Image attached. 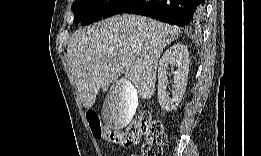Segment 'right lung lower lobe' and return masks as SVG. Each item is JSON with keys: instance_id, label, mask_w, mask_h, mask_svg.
Wrapping results in <instances>:
<instances>
[{"instance_id": "right-lung-lower-lobe-1", "label": "right lung lower lobe", "mask_w": 261, "mask_h": 156, "mask_svg": "<svg viewBox=\"0 0 261 156\" xmlns=\"http://www.w3.org/2000/svg\"><path fill=\"white\" fill-rule=\"evenodd\" d=\"M203 10L202 0H121L104 18L132 13L178 26L196 27L201 23Z\"/></svg>"}]
</instances>
